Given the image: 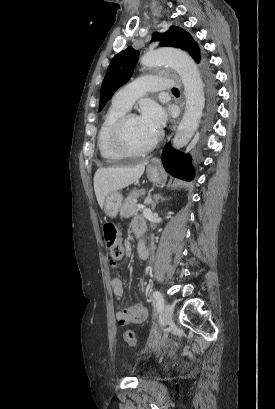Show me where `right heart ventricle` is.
Masks as SVG:
<instances>
[{
    "label": "right heart ventricle",
    "instance_id": "e07e8e85",
    "mask_svg": "<svg viewBox=\"0 0 275 409\" xmlns=\"http://www.w3.org/2000/svg\"><path fill=\"white\" fill-rule=\"evenodd\" d=\"M127 112V110L112 104L105 114L97 136V144L101 157H123L118 154L112 146V134L116 122Z\"/></svg>",
    "mask_w": 275,
    "mask_h": 409
}]
</instances>
